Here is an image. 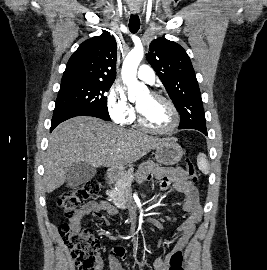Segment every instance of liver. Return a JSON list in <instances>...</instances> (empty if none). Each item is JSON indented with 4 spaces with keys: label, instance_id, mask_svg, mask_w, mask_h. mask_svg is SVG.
I'll return each instance as SVG.
<instances>
[{
    "label": "liver",
    "instance_id": "liver-1",
    "mask_svg": "<svg viewBox=\"0 0 267 270\" xmlns=\"http://www.w3.org/2000/svg\"><path fill=\"white\" fill-rule=\"evenodd\" d=\"M168 138L127 130L95 117H75L61 123L49 137L44 160V189L51 193L66 181L74 163L123 169Z\"/></svg>",
    "mask_w": 267,
    "mask_h": 270
}]
</instances>
